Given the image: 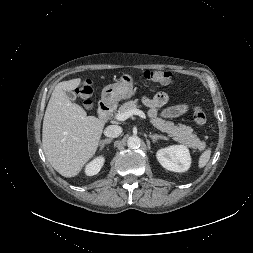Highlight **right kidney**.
<instances>
[{
  "instance_id": "1",
  "label": "right kidney",
  "mask_w": 253,
  "mask_h": 253,
  "mask_svg": "<svg viewBox=\"0 0 253 253\" xmlns=\"http://www.w3.org/2000/svg\"><path fill=\"white\" fill-rule=\"evenodd\" d=\"M104 162H105V158L103 156H99L95 158L93 161H91L90 163H88L85 168L86 175L93 176V175L98 174Z\"/></svg>"
}]
</instances>
